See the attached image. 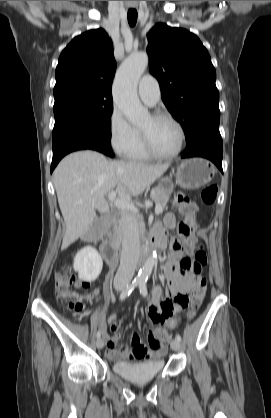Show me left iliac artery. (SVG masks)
Wrapping results in <instances>:
<instances>
[{"label":"left iliac artery","mask_w":271,"mask_h":418,"mask_svg":"<svg viewBox=\"0 0 271 418\" xmlns=\"http://www.w3.org/2000/svg\"><path fill=\"white\" fill-rule=\"evenodd\" d=\"M138 286H139L140 293H141L144 297H146V296L148 295L147 286H146V280H141V281L139 282ZM175 338H176L179 342L181 341V336H180L179 334H176V337H175Z\"/></svg>","instance_id":"obj_1"}]
</instances>
